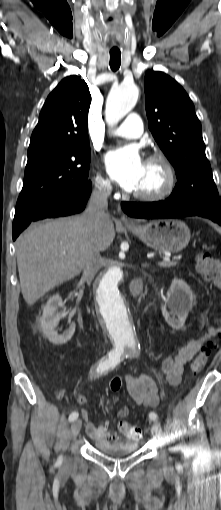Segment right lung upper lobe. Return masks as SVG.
Wrapping results in <instances>:
<instances>
[{
	"mask_svg": "<svg viewBox=\"0 0 221 510\" xmlns=\"http://www.w3.org/2000/svg\"><path fill=\"white\" fill-rule=\"evenodd\" d=\"M91 95L78 76L64 78L50 93L41 110L28 155L89 144L87 117Z\"/></svg>",
	"mask_w": 221,
	"mask_h": 510,
	"instance_id": "obj_1",
	"label": "right lung upper lobe"
}]
</instances>
